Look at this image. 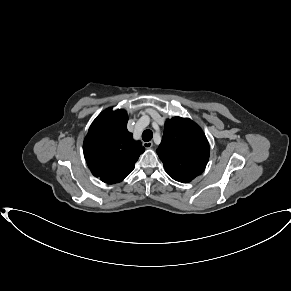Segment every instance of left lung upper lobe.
<instances>
[{
  "label": "left lung upper lobe",
  "mask_w": 291,
  "mask_h": 291,
  "mask_svg": "<svg viewBox=\"0 0 291 291\" xmlns=\"http://www.w3.org/2000/svg\"><path fill=\"white\" fill-rule=\"evenodd\" d=\"M157 154L171 178L187 183L205 170L209 143L195 122L189 118L174 117L165 123Z\"/></svg>",
  "instance_id": "left-lung-upper-lobe-1"
}]
</instances>
